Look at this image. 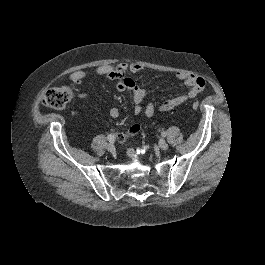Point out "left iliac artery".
Returning <instances> with one entry per match:
<instances>
[{"mask_svg": "<svg viewBox=\"0 0 265 265\" xmlns=\"http://www.w3.org/2000/svg\"><path fill=\"white\" fill-rule=\"evenodd\" d=\"M161 135H162L163 137H165L167 134H166V132H163Z\"/></svg>", "mask_w": 265, "mask_h": 265, "instance_id": "left-iliac-artery-1", "label": "left iliac artery"}]
</instances>
